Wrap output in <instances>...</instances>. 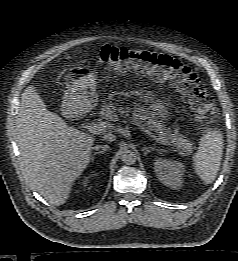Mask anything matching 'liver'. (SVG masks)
Returning <instances> with one entry per match:
<instances>
[{
  "label": "liver",
  "mask_w": 238,
  "mask_h": 261,
  "mask_svg": "<svg viewBox=\"0 0 238 261\" xmlns=\"http://www.w3.org/2000/svg\"><path fill=\"white\" fill-rule=\"evenodd\" d=\"M16 131L29 186L50 204H65L74 181L90 162L95 138L48 111L34 86L22 93Z\"/></svg>",
  "instance_id": "6515ba94"
}]
</instances>
